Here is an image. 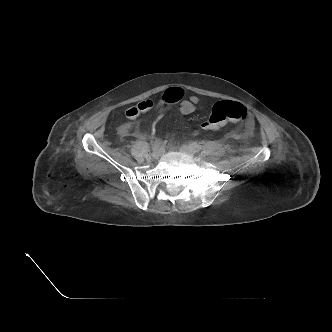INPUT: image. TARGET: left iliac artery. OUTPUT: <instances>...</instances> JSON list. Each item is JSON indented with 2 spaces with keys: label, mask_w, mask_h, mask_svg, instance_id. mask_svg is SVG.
I'll use <instances>...</instances> for the list:
<instances>
[{
  "label": "left iliac artery",
  "mask_w": 332,
  "mask_h": 332,
  "mask_svg": "<svg viewBox=\"0 0 332 332\" xmlns=\"http://www.w3.org/2000/svg\"><path fill=\"white\" fill-rule=\"evenodd\" d=\"M190 146H191V148L193 149V151H194L195 153L200 152L201 149H202L201 145H199V144L196 143V142H191V143H190Z\"/></svg>",
  "instance_id": "obj_1"
}]
</instances>
